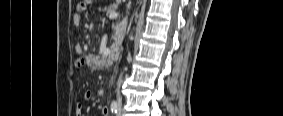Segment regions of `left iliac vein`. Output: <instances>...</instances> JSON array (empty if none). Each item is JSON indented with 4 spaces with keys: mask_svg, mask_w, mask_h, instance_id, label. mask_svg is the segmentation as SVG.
<instances>
[{
    "mask_svg": "<svg viewBox=\"0 0 283 116\" xmlns=\"http://www.w3.org/2000/svg\"><path fill=\"white\" fill-rule=\"evenodd\" d=\"M121 113H122V110H121V108L119 107V108H118V116H121Z\"/></svg>",
    "mask_w": 283,
    "mask_h": 116,
    "instance_id": "obj_1",
    "label": "left iliac vein"
}]
</instances>
